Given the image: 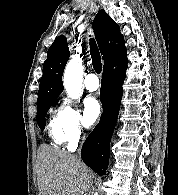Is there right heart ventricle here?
Here are the masks:
<instances>
[{
	"mask_svg": "<svg viewBox=\"0 0 178 195\" xmlns=\"http://www.w3.org/2000/svg\"><path fill=\"white\" fill-rule=\"evenodd\" d=\"M48 132L53 140V142L57 145H62L66 142V139L63 135L61 129L60 115L54 116L50 119L48 123Z\"/></svg>",
	"mask_w": 178,
	"mask_h": 195,
	"instance_id": "obj_1",
	"label": "right heart ventricle"
}]
</instances>
